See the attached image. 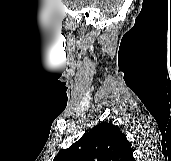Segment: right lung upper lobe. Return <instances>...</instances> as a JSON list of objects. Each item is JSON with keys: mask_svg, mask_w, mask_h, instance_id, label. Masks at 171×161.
Wrapping results in <instances>:
<instances>
[{"mask_svg": "<svg viewBox=\"0 0 171 161\" xmlns=\"http://www.w3.org/2000/svg\"><path fill=\"white\" fill-rule=\"evenodd\" d=\"M53 161H135L131 144L118 126L101 122Z\"/></svg>", "mask_w": 171, "mask_h": 161, "instance_id": "right-lung-upper-lobe-1", "label": "right lung upper lobe"}]
</instances>
